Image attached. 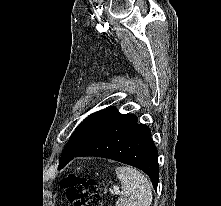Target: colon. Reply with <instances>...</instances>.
I'll return each mask as SVG.
<instances>
[{
  "mask_svg": "<svg viewBox=\"0 0 221 206\" xmlns=\"http://www.w3.org/2000/svg\"><path fill=\"white\" fill-rule=\"evenodd\" d=\"M63 186L72 206H101L102 197L96 182L88 177L76 174L68 175Z\"/></svg>",
  "mask_w": 221,
  "mask_h": 206,
  "instance_id": "1",
  "label": "colon"
}]
</instances>
